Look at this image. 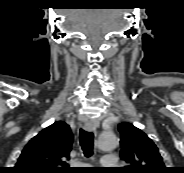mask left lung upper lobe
<instances>
[{
  "mask_svg": "<svg viewBox=\"0 0 184 173\" xmlns=\"http://www.w3.org/2000/svg\"><path fill=\"white\" fill-rule=\"evenodd\" d=\"M121 157L129 164L121 173H166L162 157L153 141L133 124L118 125Z\"/></svg>",
  "mask_w": 184,
  "mask_h": 173,
  "instance_id": "left-lung-upper-lobe-1",
  "label": "left lung upper lobe"
}]
</instances>
